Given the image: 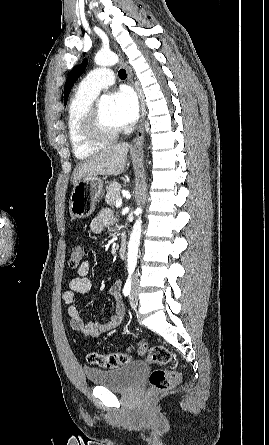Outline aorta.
I'll list each match as a JSON object with an SVG mask.
<instances>
[{
  "mask_svg": "<svg viewBox=\"0 0 269 445\" xmlns=\"http://www.w3.org/2000/svg\"><path fill=\"white\" fill-rule=\"evenodd\" d=\"M94 61L97 65L100 66H112L118 62V56L111 51H100L96 54ZM112 100L113 98L111 96L102 95L100 98V105L107 106L112 102ZM137 212L142 213V209L140 207L137 208ZM141 225V218H138L133 226V230L128 243L127 268L129 274L134 271L137 264L138 248L141 236Z\"/></svg>",
  "mask_w": 269,
  "mask_h": 445,
  "instance_id": "obj_1",
  "label": "aorta"
}]
</instances>
